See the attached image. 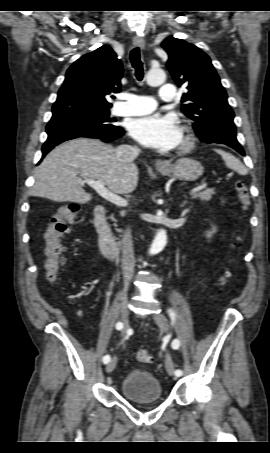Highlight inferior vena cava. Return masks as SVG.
I'll return each instance as SVG.
<instances>
[{
	"instance_id": "1",
	"label": "inferior vena cava",
	"mask_w": 270,
	"mask_h": 453,
	"mask_svg": "<svg viewBox=\"0 0 270 453\" xmlns=\"http://www.w3.org/2000/svg\"><path fill=\"white\" fill-rule=\"evenodd\" d=\"M140 153V149L135 146L121 145L116 149V156L119 162L123 164L131 163ZM122 246V271L125 277H132L135 258L133 250V240L131 229L128 227L124 231L121 240Z\"/></svg>"
}]
</instances>
